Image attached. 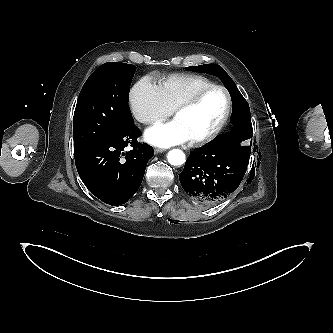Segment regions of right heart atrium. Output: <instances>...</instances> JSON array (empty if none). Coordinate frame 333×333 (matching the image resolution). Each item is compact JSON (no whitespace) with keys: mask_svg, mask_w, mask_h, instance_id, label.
Wrapping results in <instances>:
<instances>
[{"mask_svg":"<svg viewBox=\"0 0 333 333\" xmlns=\"http://www.w3.org/2000/svg\"><path fill=\"white\" fill-rule=\"evenodd\" d=\"M129 105L134 118L146 125L160 122L172 114L158 85L148 77L142 78L133 86Z\"/></svg>","mask_w":333,"mask_h":333,"instance_id":"1","label":"right heart atrium"}]
</instances>
